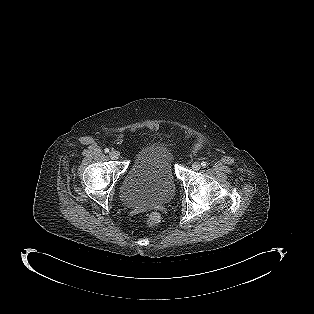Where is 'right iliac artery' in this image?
I'll list each match as a JSON object with an SVG mask.
<instances>
[{
    "label": "right iliac artery",
    "instance_id": "1",
    "mask_svg": "<svg viewBox=\"0 0 314 314\" xmlns=\"http://www.w3.org/2000/svg\"><path fill=\"white\" fill-rule=\"evenodd\" d=\"M104 151H105V153H108V152H109V149H108V148H106Z\"/></svg>",
    "mask_w": 314,
    "mask_h": 314
}]
</instances>
